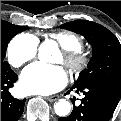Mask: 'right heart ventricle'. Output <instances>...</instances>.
<instances>
[{"instance_id":"obj_1","label":"right heart ventricle","mask_w":121,"mask_h":121,"mask_svg":"<svg viewBox=\"0 0 121 121\" xmlns=\"http://www.w3.org/2000/svg\"><path fill=\"white\" fill-rule=\"evenodd\" d=\"M50 36L55 39L63 49L71 50L81 48L80 40L73 34L58 32L53 33Z\"/></svg>"}]
</instances>
